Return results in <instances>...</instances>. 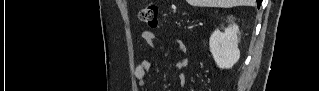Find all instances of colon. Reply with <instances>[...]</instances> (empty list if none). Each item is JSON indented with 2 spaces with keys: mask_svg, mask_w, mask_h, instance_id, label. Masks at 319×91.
<instances>
[{
  "mask_svg": "<svg viewBox=\"0 0 319 91\" xmlns=\"http://www.w3.org/2000/svg\"><path fill=\"white\" fill-rule=\"evenodd\" d=\"M158 7L154 3H149L140 9L138 17L139 20L148 24L150 27L156 28Z\"/></svg>",
  "mask_w": 319,
  "mask_h": 91,
  "instance_id": "5ec220e1",
  "label": "colon"
}]
</instances>
